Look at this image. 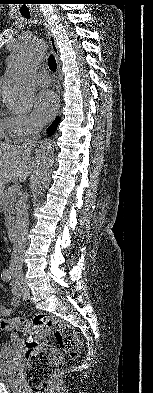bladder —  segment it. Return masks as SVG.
<instances>
[{
	"label": "bladder",
	"instance_id": "bladder-1",
	"mask_svg": "<svg viewBox=\"0 0 153 393\" xmlns=\"http://www.w3.org/2000/svg\"><path fill=\"white\" fill-rule=\"evenodd\" d=\"M18 369L19 364L14 359V349H0V381L6 383H16L18 381Z\"/></svg>",
	"mask_w": 153,
	"mask_h": 393
}]
</instances>
